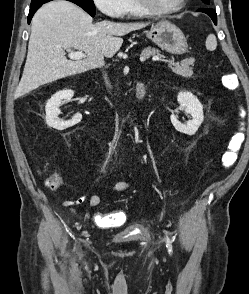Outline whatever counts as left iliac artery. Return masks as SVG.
Listing matches in <instances>:
<instances>
[{
	"label": "left iliac artery",
	"instance_id": "1",
	"mask_svg": "<svg viewBox=\"0 0 249 294\" xmlns=\"http://www.w3.org/2000/svg\"><path fill=\"white\" fill-rule=\"evenodd\" d=\"M165 241H166V247L168 249V252H169V254H171L173 252V250H172V242H171L170 238L168 237L167 233H166V236H165Z\"/></svg>",
	"mask_w": 249,
	"mask_h": 294
}]
</instances>
